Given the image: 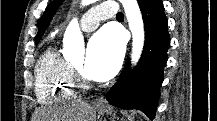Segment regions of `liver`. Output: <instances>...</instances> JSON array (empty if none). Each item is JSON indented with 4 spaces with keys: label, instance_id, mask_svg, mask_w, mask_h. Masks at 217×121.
Here are the masks:
<instances>
[{
    "label": "liver",
    "instance_id": "obj_1",
    "mask_svg": "<svg viewBox=\"0 0 217 121\" xmlns=\"http://www.w3.org/2000/svg\"><path fill=\"white\" fill-rule=\"evenodd\" d=\"M95 118V108L81 100L54 109L42 110L39 117L41 121H95Z\"/></svg>",
    "mask_w": 217,
    "mask_h": 121
}]
</instances>
